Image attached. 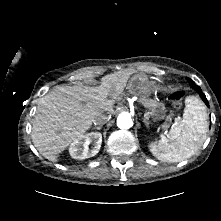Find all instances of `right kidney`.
I'll list each match as a JSON object with an SVG mask.
<instances>
[{
    "label": "right kidney",
    "instance_id": "obj_1",
    "mask_svg": "<svg viewBox=\"0 0 221 221\" xmlns=\"http://www.w3.org/2000/svg\"><path fill=\"white\" fill-rule=\"evenodd\" d=\"M93 143L90 150L89 145ZM102 135L99 132H91L86 135H81L73 141L69 147V153L72 158L83 160L95 156L101 147Z\"/></svg>",
    "mask_w": 221,
    "mask_h": 221
}]
</instances>
